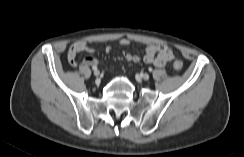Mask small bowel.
<instances>
[{
	"label": "small bowel",
	"mask_w": 244,
	"mask_h": 157,
	"mask_svg": "<svg viewBox=\"0 0 244 157\" xmlns=\"http://www.w3.org/2000/svg\"><path fill=\"white\" fill-rule=\"evenodd\" d=\"M119 44L122 46H128L131 44V40L127 38H123L119 41ZM111 47L108 46L106 48V51H111ZM89 52L92 53L94 49L89 46L87 41L79 40L74 42L69 51H68V61L72 66H76V57L78 53L80 52ZM124 57L133 62H140L144 61L147 64H152L156 67H163L170 63L174 59V54L172 49L165 44H149L146 47V53L143 57L132 54L129 52H124ZM83 63L88 66L97 65L99 63V60L93 56H87L84 58Z\"/></svg>",
	"instance_id": "c3829d8e"
}]
</instances>
